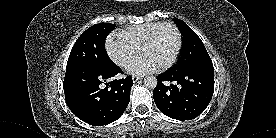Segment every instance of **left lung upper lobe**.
Listing matches in <instances>:
<instances>
[{"label": "left lung upper lobe", "instance_id": "left-lung-upper-lobe-1", "mask_svg": "<svg viewBox=\"0 0 276 138\" xmlns=\"http://www.w3.org/2000/svg\"><path fill=\"white\" fill-rule=\"evenodd\" d=\"M174 21L183 36V46L179 61L172 70L182 71L205 64H212L206 48L198 35L184 21L180 19H174Z\"/></svg>", "mask_w": 276, "mask_h": 138}]
</instances>
